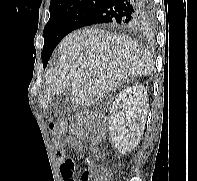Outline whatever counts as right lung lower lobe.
I'll list each match as a JSON object with an SVG mask.
<instances>
[{
  "label": "right lung lower lobe",
  "instance_id": "98d812e1",
  "mask_svg": "<svg viewBox=\"0 0 197 181\" xmlns=\"http://www.w3.org/2000/svg\"><path fill=\"white\" fill-rule=\"evenodd\" d=\"M152 0H106L86 15L77 28L102 24L121 29L141 28L153 12Z\"/></svg>",
  "mask_w": 197,
  "mask_h": 181
}]
</instances>
